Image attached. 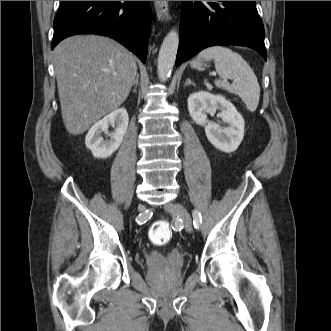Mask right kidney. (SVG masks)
<instances>
[{"instance_id":"right-kidney-1","label":"right kidney","mask_w":331,"mask_h":331,"mask_svg":"<svg viewBox=\"0 0 331 331\" xmlns=\"http://www.w3.org/2000/svg\"><path fill=\"white\" fill-rule=\"evenodd\" d=\"M129 117L124 108L112 111L100 121L96 122L88 131L85 144L96 158L110 157L122 143L123 137L127 131ZM114 128L109 132V127ZM109 136L103 139L102 134Z\"/></svg>"}]
</instances>
